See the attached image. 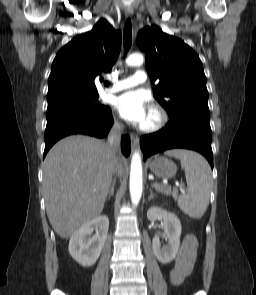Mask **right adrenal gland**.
Masks as SVG:
<instances>
[{
    "instance_id": "obj_1",
    "label": "right adrenal gland",
    "mask_w": 256,
    "mask_h": 295,
    "mask_svg": "<svg viewBox=\"0 0 256 295\" xmlns=\"http://www.w3.org/2000/svg\"><path fill=\"white\" fill-rule=\"evenodd\" d=\"M115 183H116V178H114V180H113V182H112V184H111V187H110V190H109V192H108V196H107V198H109L110 195H113V194H114Z\"/></svg>"
}]
</instances>
